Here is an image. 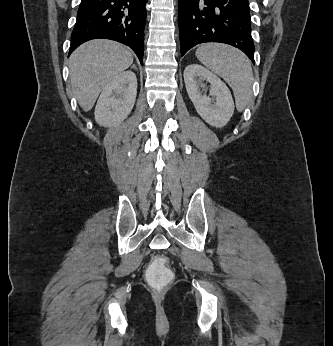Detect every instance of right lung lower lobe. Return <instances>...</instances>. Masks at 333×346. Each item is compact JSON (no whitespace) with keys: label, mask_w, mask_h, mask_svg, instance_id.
I'll list each match as a JSON object with an SVG mask.
<instances>
[{"label":"right lung lower lobe","mask_w":333,"mask_h":346,"mask_svg":"<svg viewBox=\"0 0 333 346\" xmlns=\"http://www.w3.org/2000/svg\"><path fill=\"white\" fill-rule=\"evenodd\" d=\"M147 0H81L71 34L69 55L82 43L97 38L121 42L143 64Z\"/></svg>","instance_id":"right-lung-lower-lobe-1"}]
</instances>
